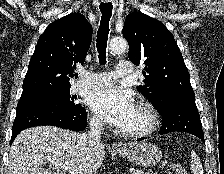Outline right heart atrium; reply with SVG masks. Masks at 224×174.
Instances as JSON below:
<instances>
[{"instance_id":"right-heart-atrium-1","label":"right heart atrium","mask_w":224,"mask_h":174,"mask_svg":"<svg viewBox=\"0 0 224 174\" xmlns=\"http://www.w3.org/2000/svg\"><path fill=\"white\" fill-rule=\"evenodd\" d=\"M91 124L95 128H101L102 127V121L97 116H93L91 118Z\"/></svg>"}]
</instances>
